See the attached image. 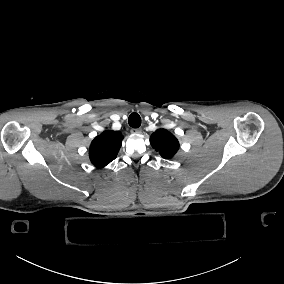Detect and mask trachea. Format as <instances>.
<instances>
[{
  "instance_id": "1",
  "label": "trachea",
  "mask_w": 284,
  "mask_h": 284,
  "mask_svg": "<svg viewBox=\"0 0 284 284\" xmlns=\"http://www.w3.org/2000/svg\"><path fill=\"white\" fill-rule=\"evenodd\" d=\"M128 123L132 128H138L141 125V117L138 113L133 112L128 118Z\"/></svg>"
}]
</instances>
